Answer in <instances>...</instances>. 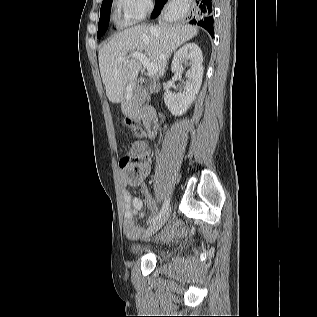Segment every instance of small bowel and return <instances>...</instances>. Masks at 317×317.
I'll use <instances>...</instances> for the list:
<instances>
[{"mask_svg":"<svg viewBox=\"0 0 317 317\" xmlns=\"http://www.w3.org/2000/svg\"><path fill=\"white\" fill-rule=\"evenodd\" d=\"M135 151L146 161L148 170L150 168L149 149L145 144H138L135 146ZM123 184L138 185L141 186L142 192L145 197L150 211L155 214L157 212V205L150 196L147 188L142 184V180L131 182L126 175L122 177ZM124 199V232L130 238H135L140 233V227L134 220L136 216L143 217V202L139 198H133L129 192L123 191ZM176 231L174 226L167 227L164 231L165 236H171Z\"/></svg>","mask_w":317,"mask_h":317,"instance_id":"small-bowel-1","label":"small bowel"}]
</instances>
